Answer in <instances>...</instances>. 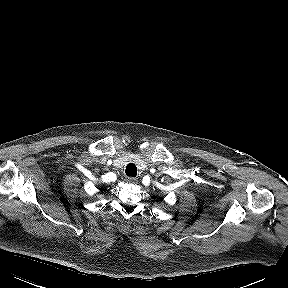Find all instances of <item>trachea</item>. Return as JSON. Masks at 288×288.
<instances>
[{
  "instance_id": "trachea-1",
  "label": "trachea",
  "mask_w": 288,
  "mask_h": 288,
  "mask_svg": "<svg viewBox=\"0 0 288 288\" xmlns=\"http://www.w3.org/2000/svg\"><path fill=\"white\" fill-rule=\"evenodd\" d=\"M127 176H131V177H136L137 175V167L135 164L133 163H129L126 166V171H125Z\"/></svg>"
}]
</instances>
